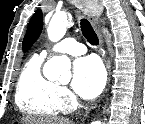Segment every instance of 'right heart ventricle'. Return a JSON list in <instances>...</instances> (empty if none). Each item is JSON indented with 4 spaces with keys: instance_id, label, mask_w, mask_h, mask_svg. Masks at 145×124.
Returning <instances> with one entry per match:
<instances>
[{
    "instance_id": "obj_1",
    "label": "right heart ventricle",
    "mask_w": 145,
    "mask_h": 124,
    "mask_svg": "<svg viewBox=\"0 0 145 124\" xmlns=\"http://www.w3.org/2000/svg\"><path fill=\"white\" fill-rule=\"evenodd\" d=\"M44 57L35 55L23 67L16 85L15 101L19 109L36 117H51L62 109L59 87L41 72Z\"/></svg>"
}]
</instances>
